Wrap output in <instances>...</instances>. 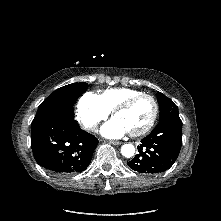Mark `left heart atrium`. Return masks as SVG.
Returning <instances> with one entry per match:
<instances>
[{
	"mask_svg": "<svg viewBox=\"0 0 221 221\" xmlns=\"http://www.w3.org/2000/svg\"><path fill=\"white\" fill-rule=\"evenodd\" d=\"M100 131L103 136L108 138H120L128 133L125 125L116 118L104 124Z\"/></svg>",
	"mask_w": 221,
	"mask_h": 221,
	"instance_id": "39dd6f15",
	"label": "left heart atrium"
}]
</instances>
